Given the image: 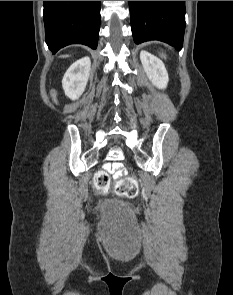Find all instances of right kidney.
<instances>
[{"label":"right kidney","instance_id":"obj_1","mask_svg":"<svg viewBox=\"0 0 233 295\" xmlns=\"http://www.w3.org/2000/svg\"><path fill=\"white\" fill-rule=\"evenodd\" d=\"M91 61L84 57L74 62L64 74L62 87L71 100L78 99L85 90L90 74Z\"/></svg>","mask_w":233,"mask_h":295}]
</instances>
